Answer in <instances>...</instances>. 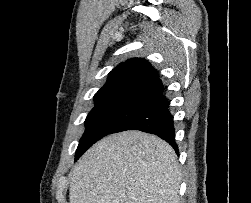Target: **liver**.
I'll list each match as a JSON object with an SVG mask.
<instances>
[{
    "mask_svg": "<svg viewBox=\"0 0 251 203\" xmlns=\"http://www.w3.org/2000/svg\"><path fill=\"white\" fill-rule=\"evenodd\" d=\"M173 148L155 135L126 131L94 144L74 167L70 203H179Z\"/></svg>",
    "mask_w": 251,
    "mask_h": 203,
    "instance_id": "obj_1",
    "label": "liver"
}]
</instances>
